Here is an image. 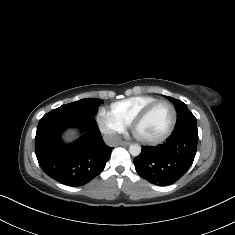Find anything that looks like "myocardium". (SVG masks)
Returning <instances> with one entry per match:
<instances>
[{
    "label": "myocardium",
    "mask_w": 235,
    "mask_h": 235,
    "mask_svg": "<svg viewBox=\"0 0 235 235\" xmlns=\"http://www.w3.org/2000/svg\"><path fill=\"white\" fill-rule=\"evenodd\" d=\"M161 104H167L170 106L171 110H172V120H171V124H170V127L168 129V131L160 136V137H157V138H153V139H142L140 138L137 134H136V129L137 127L143 123L144 121L147 120V118L150 116V114ZM177 109L175 107V105L170 102L169 100H166V99H159L153 103H151L149 106H147L140 114H138L134 120L132 121L131 125H130V128H131V133L134 137V139L141 143V144H144V145H157V144H160L164 141H166L167 139H169L175 128H176V124H177Z\"/></svg>",
    "instance_id": "f54148a6"
}]
</instances>
